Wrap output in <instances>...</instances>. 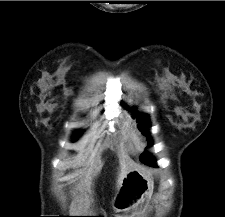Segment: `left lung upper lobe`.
Instances as JSON below:
<instances>
[{
  "mask_svg": "<svg viewBox=\"0 0 225 217\" xmlns=\"http://www.w3.org/2000/svg\"><path fill=\"white\" fill-rule=\"evenodd\" d=\"M122 104H123V103H122ZM134 109H135V108H132L131 110H134ZM137 120H138L139 123H140V125H139L140 130L143 131V134H144L145 136H147V139H148L149 143H151L150 135H149V133H148L147 130H146L147 125L150 123V122H149L148 116H147L146 114H138V115H137ZM146 158H147V157H145V156L141 157V159H146Z\"/></svg>",
  "mask_w": 225,
  "mask_h": 217,
  "instance_id": "1",
  "label": "left lung upper lobe"
}]
</instances>
